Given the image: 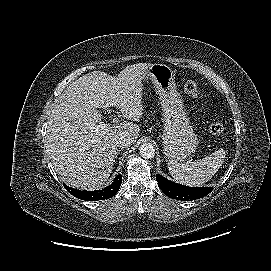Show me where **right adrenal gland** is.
Instances as JSON below:
<instances>
[{
    "instance_id": "obj_1",
    "label": "right adrenal gland",
    "mask_w": 271,
    "mask_h": 271,
    "mask_svg": "<svg viewBox=\"0 0 271 271\" xmlns=\"http://www.w3.org/2000/svg\"><path fill=\"white\" fill-rule=\"evenodd\" d=\"M119 153H120V150L117 151V156H118ZM117 156H116V157H117Z\"/></svg>"
}]
</instances>
